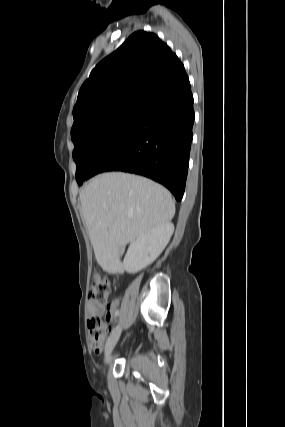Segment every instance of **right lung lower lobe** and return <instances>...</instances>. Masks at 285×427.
I'll return each mask as SVG.
<instances>
[{
  "label": "right lung lower lobe",
  "instance_id": "98d812e1",
  "mask_svg": "<svg viewBox=\"0 0 285 427\" xmlns=\"http://www.w3.org/2000/svg\"><path fill=\"white\" fill-rule=\"evenodd\" d=\"M193 96L186 73L157 89L116 146L91 171H124L151 178L181 201L193 138Z\"/></svg>",
  "mask_w": 285,
  "mask_h": 427
}]
</instances>
